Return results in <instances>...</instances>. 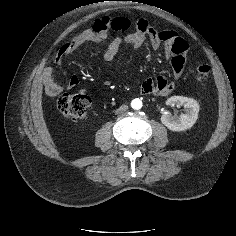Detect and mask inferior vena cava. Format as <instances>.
Instances as JSON below:
<instances>
[{
    "label": "inferior vena cava",
    "instance_id": "1",
    "mask_svg": "<svg viewBox=\"0 0 236 236\" xmlns=\"http://www.w3.org/2000/svg\"><path fill=\"white\" fill-rule=\"evenodd\" d=\"M127 109H128V106H127V105H121V106L116 110V113H117V114L123 113V112H125Z\"/></svg>",
    "mask_w": 236,
    "mask_h": 236
}]
</instances>
